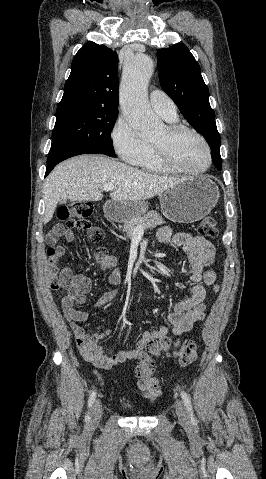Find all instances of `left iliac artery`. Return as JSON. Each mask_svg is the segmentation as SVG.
<instances>
[{
  "label": "left iliac artery",
  "mask_w": 266,
  "mask_h": 479,
  "mask_svg": "<svg viewBox=\"0 0 266 479\" xmlns=\"http://www.w3.org/2000/svg\"><path fill=\"white\" fill-rule=\"evenodd\" d=\"M181 397H182V400L189 412V415H190V418H191V421H195V417H194V414H193V409H192V404H191V399L189 397V395L185 392V391H181Z\"/></svg>",
  "instance_id": "44dca946"
}]
</instances>
